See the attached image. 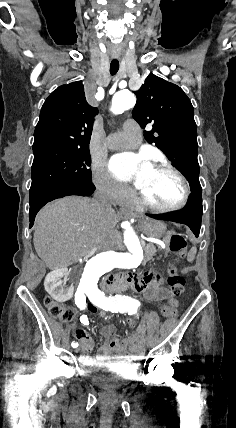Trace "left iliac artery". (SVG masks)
<instances>
[{
	"instance_id": "1",
	"label": "left iliac artery",
	"mask_w": 236,
	"mask_h": 428,
	"mask_svg": "<svg viewBox=\"0 0 236 428\" xmlns=\"http://www.w3.org/2000/svg\"><path fill=\"white\" fill-rule=\"evenodd\" d=\"M86 295L89 300L96 306L100 307L105 311H111L112 313L129 312L137 309L140 306V302L128 296L115 295L113 297H105L104 292L101 291H86Z\"/></svg>"
}]
</instances>
